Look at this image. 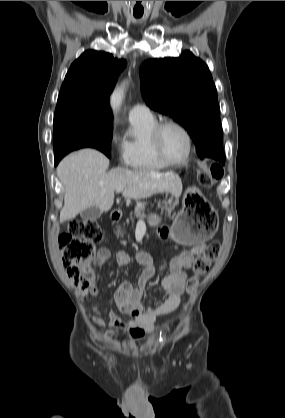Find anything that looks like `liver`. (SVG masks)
Segmentation results:
<instances>
[{
	"instance_id": "obj_1",
	"label": "liver",
	"mask_w": 285,
	"mask_h": 418,
	"mask_svg": "<svg viewBox=\"0 0 285 418\" xmlns=\"http://www.w3.org/2000/svg\"><path fill=\"white\" fill-rule=\"evenodd\" d=\"M108 167L109 159L93 149H83L62 159L57 167V176L65 188L61 223L74 219L91 206L108 212L118 187L124 188V197L135 200L161 192H169L178 198L182 193L181 179L173 172L125 168L106 172Z\"/></svg>"
}]
</instances>
